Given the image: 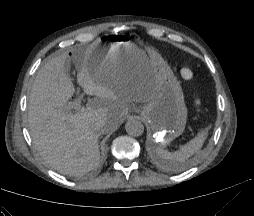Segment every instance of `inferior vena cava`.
I'll use <instances>...</instances> for the list:
<instances>
[{
	"label": "inferior vena cava",
	"instance_id": "obj_1",
	"mask_svg": "<svg viewBox=\"0 0 254 216\" xmlns=\"http://www.w3.org/2000/svg\"><path fill=\"white\" fill-rule=\"evenodd\" d=\"M104 124H105L104 121H98V122L95 123L94 129L98 132H104V131H102V128H103Z\"/></svg>",
	"mask_w": 254,
	"mask_h": 216
}]
</instances>
